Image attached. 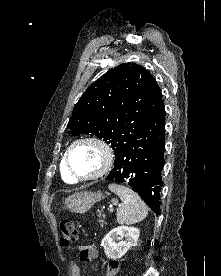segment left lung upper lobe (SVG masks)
<instances>
[{"label":"left lung upper lobe","mask_w":221,"mask_h":276,"mask_svg":"<svg viewBox=\"0 0 221 276\" xmlns=\"http://www.w3.org/2000/svg\"><path fill=\"white\" fill-rule=\"evenodd\" d=\"M163 108L153 76L140 65L120 64L87 88L67 127L73 136L90 134L103 139L116 154Z\"/></svg>","instance_id":"left-lung-upper-lobe-1"}]
</instances>
